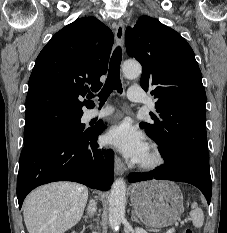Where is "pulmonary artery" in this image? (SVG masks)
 <instances>
[{
	"mask_svg": "<svg viewBox=\"0 0 227 233\" xmlns=\"http://www.w3.org/2000/svg\"><path fill=\"white\" fill-rule=\"evenodd\" d=\"M128 98L134 102H142L143 97L139 90L135 88H130L128 91ZM114 112V109L111 107H104L101 110H94L91 114L93 118H106Z\"/></svg>",
	"mask_w": 227,
	"mask_h": 233,
	"instance_id": "e3ab8cb5",
	"label": "pulmonary artery"
}]
</instances>
